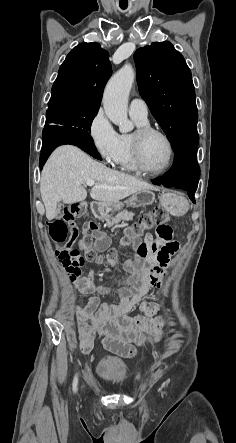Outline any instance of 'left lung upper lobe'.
Instances as JSON below:
<instances>
[{
    "instance_id": "1",
    "label": "left lung upper lobe",
    "mask_w": 236,
    "mask_h": 443,
    "mask_svg": "<svg viewBox=\"0 0 236 443\" xmlns=\"http://www.w3.org/2000/svg\"><path fill=\"white\" fill-rule=\"evenodd\" d=\"M134 60L140 95L174 152L186 142L198 139L194 85L183 56L164 41L137 49Z\"/></svg>"
}]
</instances>
